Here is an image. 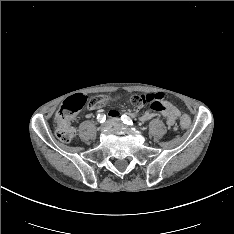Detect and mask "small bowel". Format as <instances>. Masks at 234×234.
<instances>
[{
	"instance_id": "c3829d8e",
	"label": "small bowel",
	"mask_w": 234,
	"mask_h": 234,
	"mask_svg": "<svg viewBox=\"0 0 234 234\" xmlns=\"http://www.w3.org/2000/svg\"><path fill=\"white\" fill-rule=\"evenodd\" d=\"M99 98L102 103V105L99 108L103 107L104 105H107L108 103L112 101V99L107 96H101ZM157 114H160L161 116H163L166 119V122L169 126H172L177 121V119H179V117L181 116L180 110L175 105H173L169 101L163 100L161 107L159 109L152 108L151 111H146L140 114L139 119L141 121H149L153 117H155ZM109 115L112 117H115L119 115V112L116 110H111L109 112Z\"/></svg>"
}]
</instances>
